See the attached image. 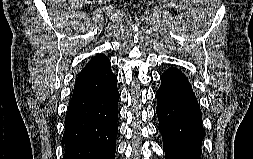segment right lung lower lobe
Segmentation results:
<instances>
[{
  "label": "right lung lower lobe",
  "instance_id": "1",
  "mask_svg": "<svg viewBox=\"0 0 253 159\" xmlns=\"http://www.w3.org/2000/svg\"><path fill=\"white\" fill-rule=\"evenodd\" d=\"M119 97L110 63L76 80L65 118L63 159H115Z\"/></svg>",
  "mask_w": 253,
  "mask_h": 159
}]
</instances>
